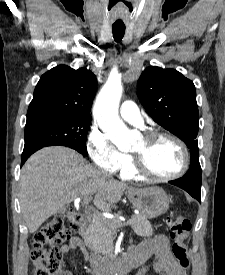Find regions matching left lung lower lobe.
Masks as SVG:
<instances>
[{
    "mask_svg": "<svg viewBox=\"0 0 225 275\" xmlns=\"http://www.w3.org/2000/svg\"><path fill=\"white\" fill-rule=\"evenodd\" d=\"M169 183L184 189L198 201L201 200V169H189L182 178Z\"/></svg>",
    "mask_w": 225,
    "mask_h": 275,
    "instance_id": "obj_1",
    "label": "left lung lower lobe"
}]
</instances>
